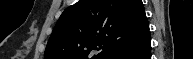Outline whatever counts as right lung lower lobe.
I'll list each match as a JSON object with an SVG mask.
<instances>
[{"label":"right lung lower lobe","instance_id":"1","mask_svg":"<svg viewBox=\"0 0 193 59\" xmlns=\"http://www.w3.org/2000/svg\"><path fill=\"white\" fill-rule=\"evenodd\" d=\"M150 32L137 42L125 47L110 59H150L151 58Z\"/></svg>","mask_w":193,"mask_h":59}]
</instances>
